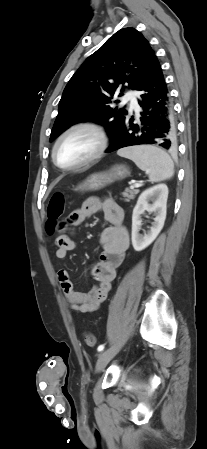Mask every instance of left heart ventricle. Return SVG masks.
<instances>
[{
    "label": "left heart ventricle",
    "mask_w": 207,
    "mask_h": 449,
    "mask_svg": "<svg viewBox=\"0 0 207 449\" xmlns=\"http://www.w3.org/2000/svg\"><path fill=\"white\" fill-rule=\"evenodd\" d=\"M97 147V139L87 130H78L65 137L56 150V159L62 166L72 165L90 156Z\"/></svg>",
    "instance_id": "1"
}]
</instances>
